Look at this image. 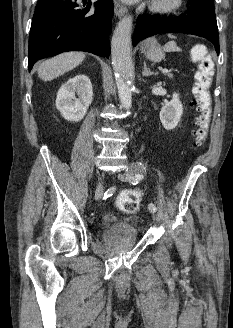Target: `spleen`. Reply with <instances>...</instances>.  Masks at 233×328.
Segmentation results:
<instances>
[{
	"mask_svg": "<svg viewBox=\"0 0 233 328\" xmlns=\"http://www.w3.org/2000/svg\"><path fill=\"white\" fill-rule=\"evenodd\" d=\"M164 50L166 52H171V51H181V49L177 46L175 41H169L164 45Z\"/></svg>",
	"mask_w": 233,
	"mask_h": 328,
	"instance_id": "obj_1",
	"label": "spleen"
}]
</instances>
